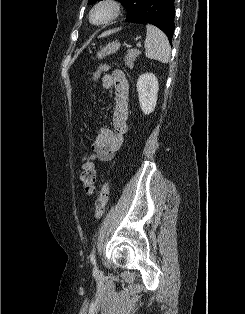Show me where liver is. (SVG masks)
<instances>
[{"mask_svg": "<svg viewBox=\"0 0 245 314\" xmlns=\"http://www.w3.org/2000/svg\"><path fill=\"white\" fill-rule=\"evenodd\" d=\"M109 34H110V32L108 31V32L103 33L102 36H107Z\"/></svg>", "mask_w": 245, "mask_h": 314, "instance_id": "liver-1", "label": "liver"}]
</instances>
